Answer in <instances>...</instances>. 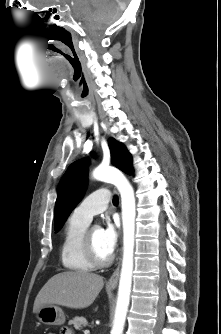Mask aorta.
Segmentation results:
<instances>
[{
  "instance_id": "obj_1",
  "label": "aorta",
  "mask_w": 221,
  "mask_h": 334,
  "mask_svg": "<svg viewBox=\"0 0 221 334\" xmlns=\"http://www.w3.org/2000/svg\"><path fill=\"white\" fill-rule=\"evenodd\" d=\"M93 177L96 180L114 184L121 195L123 222V260L120 272L115 315L110 334H123L130 302L133 273L136 216L134 190L126 177L119 170L113 167L99 166L93 171Z\"/></svg>"
}]
</instances>
